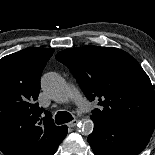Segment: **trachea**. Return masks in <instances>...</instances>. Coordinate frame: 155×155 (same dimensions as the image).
I'll use <instances>...</instances> for the list:
<instances>
[{
  "label": "trachea",
  "instance_id": "trachea-1",
  "mask_svg": "<svg viewBox=\"0 0 155 155\" xmlns=\"http://www.w3.org/2000/svg\"><path fill=\"white\" fill-rule=\"evenodd\" d=\"M73 120V116L66 111H59L55 116L56 124H64Z\"/></svg>",
  "mask_w": 155,
  "mask_h": 155
}]
</instances>
